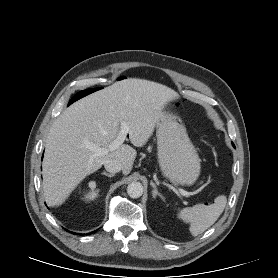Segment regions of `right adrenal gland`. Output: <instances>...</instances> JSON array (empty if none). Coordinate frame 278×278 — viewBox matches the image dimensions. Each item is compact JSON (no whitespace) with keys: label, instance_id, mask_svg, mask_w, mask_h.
Returning a JSON list of instances; mask_svg holds the SVG:
<instances>
[{"label":"right adrenal gland","instance_id":"right-adrenal-gland-1","mask_svg":"<svg viewBox=\"0 0 278 278\" xmlns=\"http://www.w3.org/2000/svg\"><path fill=\"white\" fill-rule=\"evenodd\" d=\"M101 174H102V175H105V176H107V177H113V176H115V174H109V173H107V172H102Z\"/></svg>","mask_w":278,"mask_h":278}]
</instances>
